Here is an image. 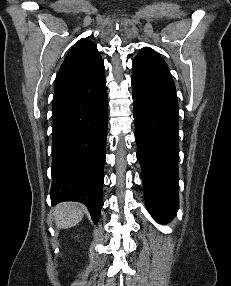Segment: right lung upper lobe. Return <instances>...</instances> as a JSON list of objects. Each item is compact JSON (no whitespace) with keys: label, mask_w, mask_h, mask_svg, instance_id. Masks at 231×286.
<instances>
[{"label":"right lung upper lobe","mask_w":231,"mask_h":286,"mask_svg":"<svg viewBox=\"0 0 231 286\" xmlns=\"http://www.w3.org/2000/svg\"><path fill=\"white\" fill-rule=\"evenodd\" d=\"M103 69L104 63L96 45L83 38L67 54L60 67L54 89L95 76Z\"/></svg>","instance_id":"obj_1"}]
</instances>
